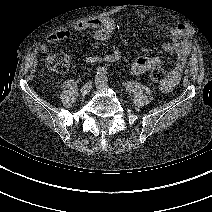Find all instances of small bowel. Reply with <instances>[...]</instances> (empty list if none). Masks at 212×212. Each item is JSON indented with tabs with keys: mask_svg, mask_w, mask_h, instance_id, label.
Returning <instances> with one entry per match:
<instances>
[{
	"mask_svg": "<svg viewBox=\"0 0 212 212\" xmlns=\"http://www.w3.org/2000/svg\"><path fill=\"white\" fill-rule=\"evenodd\" d=\"M186 25L178 23L171 29L169 39L162 44L165 52L175 55L177 62L176 66L168 73L166 81L160 85L163 92H170L179 82L182 72L187 64L190 55V44L182 37V33L186 30ZM74 31L77 33L90 32L93 39L98 41H105L109 39L115 29L114 19L101 16L85 21H81L74 26ZM72 36L69 30H59L53 32L48 37V43L55 44L59 41L66 40ZM50 47L46 44L41 45L42 52L50 51ZM121 59V53L114 50L106 55H90L85 61L88 64H96L99 62L113 63ZM161 65V60L158 57H139L131 64L130 70L135 75H140L153 67Z\"/></svg>",
	"mask_w": 212,
	"mask_h": 212,
	"instance_id": "obj_1",
	"label": "small bowel"
}]
</instances>
